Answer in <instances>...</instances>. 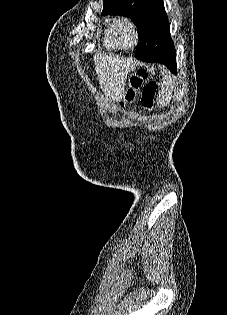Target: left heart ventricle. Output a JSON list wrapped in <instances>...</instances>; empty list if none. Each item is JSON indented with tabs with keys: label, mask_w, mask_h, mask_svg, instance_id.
<instances>
[{
	"label": "left heart ventricle",
	"mask_w": 227,
	"mask_h": 315,
	"mask_svg": "<svg viewBox=\"0 0 227 315\" xmlns=\"http://www.w3.org/2000/svg\"><path fill=\"white\" fill-rule=\"evenodd\" d=\"M124 42L127 45H130L133 42V37H132V34L129 30H126L124 32Z\"/></svg>",
	"instance_id": "left-heart-ventricle-1"
}]
</instances>
